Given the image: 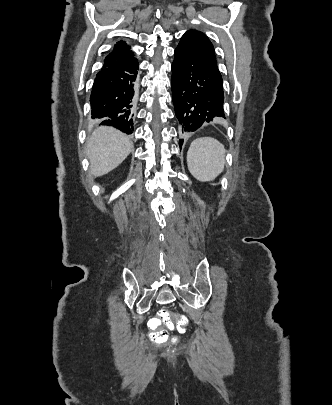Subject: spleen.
<instances>
[{
    "mask_svg": "<svg viewBox=\"0 0 332 405\" xmlns=\"http://www.w3.org/2000/svg\"><path fill=\"white\" fill-rule=\"evenodd\" d=\"M225 153L224 145L215 138H198L187 152L188 169L200 182L213 181L224 170Z\"/></svg>",
    "mask_w": 332,
    "mask_h": 405,
    "instance_id": "obj_1",
    "label": "spleen"
}]
</instances>
